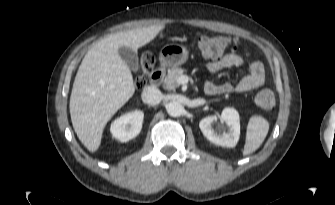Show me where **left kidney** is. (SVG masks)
Segmentation results:
<instances>
[{
  "label": "left kidney",
  "instance_id": "obj_1",
  "mask_svg": "<svg viewBox=\"0 0 335 205\" xmlns=\"http://www.w3.org/2000/svg\"><path fill=\"white\" fill-rule=\"evenodd\" d=\"M220 119L227 125V130L222 133L212 127V123L217 120L216 116H208L202 119L199 127L203 135L212 143L233 148L236 146L240 137V117L236 109L227 107L222 111Z\"/></svg>",
  "mask_w": 335,
  "mask_h": 205
}]
</instances>
